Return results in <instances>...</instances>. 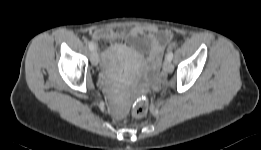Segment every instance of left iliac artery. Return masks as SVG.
Wrapping results in <instances>:
<instances>
[{"label": "left iliac artery", "mask_w": 261, "mask_h": 150, "mask_svg": "<svg viewBox=\"0 0 261 150\" xmlns=\"http://www.w3.org/2000/svg\"><path fill=\"white\" fill-rule=\"evenodd\" d=\"M166 57H167L168 60L171 61L172 58H173V52H172V51H169V52L167 53Z\"/></svg>", "instance_id": "left-iliac-artery-1"}]
</instances>
